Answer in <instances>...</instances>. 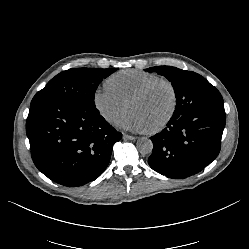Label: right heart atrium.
<instances>
[{"mask_svg":"<svg viewBox=\"0 0 249 249\" xmlns=\"http://www.w3.org/2000/svg\"><path fill=\"white\" fill-rule=\"evenodd\" d=\"M93 105L106 122L113 123L124 111L126 102L104 86L94 91Z\"/></svg>","mask_w":249,"mask_h":249,"instance_id":"obj_1","label":"right heart atrium"}]
</instances>
